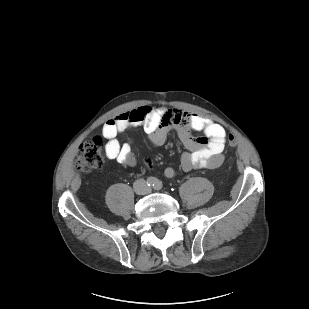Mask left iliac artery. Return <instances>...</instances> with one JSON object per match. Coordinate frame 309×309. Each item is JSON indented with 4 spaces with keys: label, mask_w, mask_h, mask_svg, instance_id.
I'll return each instance as SVG.
<instances>
[{
    "label": "left iliac artery",
    "mask_w": 309,
    "mask_h": 309,
    "mask_svg": "<svg viewBox=\"0 0 309 309\" xmlns=\"http://www.w3.org/2000/svg\"><path fill=\"white\" fill-rule=\"evenodd\" d=\"M162 187H163L162 182L159 181V180H156L155 185H154V188H155L156 190H160V189H162Z\"/></svg>",
    "instance_id": "1"
}]
</instances>
